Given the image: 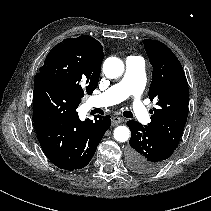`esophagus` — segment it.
<instances>
[{
  "instance_id": "1",
  "label": "esophagus",
  "mask_w": 211,
  "mask_h": 211,
  "mask_svg": "<svg viewBox=\"0 0 211 211\" xmlns=\"http://www.w3.org/2000/svg\"><path fill=\"white\" fill-rule=\"evenodd\" d=\"M121 122H123V118L118 117V116L113 117L112 118V121H111V123H112L113 126L118 125Z\"/></svg>"
}]
</instances>
